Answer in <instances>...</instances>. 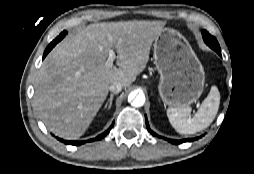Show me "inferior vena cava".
<instances>
[{
	"label": "inferior vena cava",
	"instance_id": "obj_1",
	"mask_svg": "<svg viewBox=\"0 0 254 174\" xmlns=\"http://www.w3.org/2000/svg\"><path fill=\"white\" fill-rule=\"evenodd\" d=\"M122 87L123 86L120 82L115 81L109 86V90L113 93H119L122 90Z\"/></svg>",
	"mask_w": 254,
	"mask_h": 174
}]
</instances>
